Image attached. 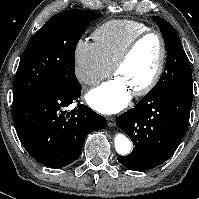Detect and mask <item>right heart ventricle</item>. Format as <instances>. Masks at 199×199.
<instances>
[{
  "instance_id": "e07e8e85",
  "label": "right heart ventricle",
  "mask_w": 199,
  "mask_h": 199,
  "mask_svg": "<svg viewBox=\"0 0 199 199\" xmlns=\"http://www.w3.org/2000/svg\"><path fill=\"white\" fill-rule=\"evenodd\" d=\"M149 29L146 24L136 20H111L97 27L93 38L104 59L112 66L125 46Z\"/></svg>"
}]
</instances>
